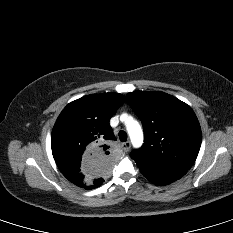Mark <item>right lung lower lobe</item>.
Segmentation results:
<instances>
[{"label":"right lung lower lobe","instance_id":"right-lung-lower-lobe-1","mask_svg":"<svg viewBox=\"0 0 233 233\" xmlns=\"http://www.w3.org/2000/svg\"><path fill=\"white\" fill-rule=\"evenodd\" d=\"M101 185V184H100ZM100 185H98L97 187H99ZM87 189H93V188H96L95 186H92V185H90V186H88V187H86Z\"/></svg>","mask_w":233,"mask_h":233}]
</instances>
